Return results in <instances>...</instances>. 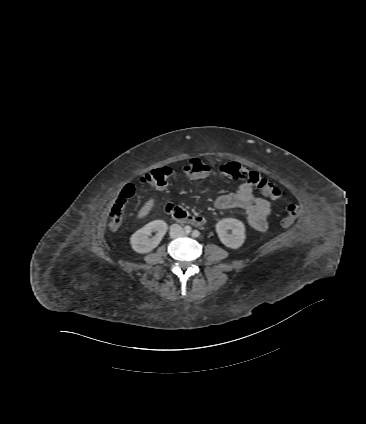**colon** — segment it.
<instances>
[{"mask_svg":"<svg viewBox=\"0 0 366 424\" xmlns=\"http://www.w3.org/2000/svg\"><path fill=\"white\" fill-rule=\"evenodd\" d=\"M184 173L191 178H204L209 172V166L198 157L190 158L183 167ZM219 173L227 178L234 180H243L252 186L257 187L264 195L272 200H280L281 190L271 181L262 177L258 172L249 170L236 162L224 163L219 167ZM173 170L169 167H163L151 171L141 177V182L148 185L163 186L172 176ZM134 187L127 186L120 197L113 204L108 217V225L111 230H117L122 224L126 209L127 200L133 196ZM299 215V207L289 205L286 214L281 219V224L285 227L291 226Z\"/></svg>","mask_w":366,"mask_h":424,"instance_id":"5ec220e1","label":"colon"}]
</instances>
